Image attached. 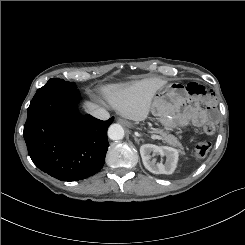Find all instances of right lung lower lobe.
I'll return each mask as SVG.
<instances>
[{"label": "right lung lower lobe", "mask_w": 245, "mask_h": 245, "mask_svg": "<svg viewBox=\"0 0 245 245\" xmlns=\"http://www.w3.org/2000/svg\"><path fill=\"white\" fill-rule=\"evenodd\" d=\"M76 86L57 83L38 89L29 107L24 138L33 163L61 180L78 181L100 171L108 150L102 121L77 110Z\"/></svg>", "instance_id": "1"}]
</instances>
